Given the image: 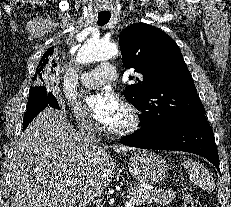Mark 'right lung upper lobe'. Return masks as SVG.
I'll return each mask as SVG.
<instances>
[{
	"label": "right lung upper lobe",
	"instance_id": "right-lung-upper-lobe-1",
	"mask_svg": "<svg viewBox=\"0 0 231 207\" xmlns=\"http://www.w3.org/2000/svg\"><path fill=\"white\" fill-rule=\"evenodd\" d=\"M54 52V47H50L43 55V57L41 58L37 68H36V72H35V77L39 78L41 77L42 73L44 72L45 66L47 65V63L49 62L50 57L52 56Z\"/></svg>",
	"mask_w": 231,
	"mask_h": 207
}]
</instances>
